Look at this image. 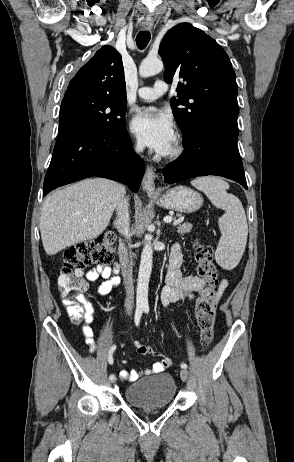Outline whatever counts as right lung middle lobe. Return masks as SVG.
Segmentation results:
<instances>
[{
    "instance_id": "right-lung-middle-lobe-1",
    "label": "right lung middle lobe",
    "mask_w": 294,
    "mask_h": 462,
    "mask_svg": "<svg viewBox=\"0 0 294 462\" xmlns=\"http://www.w3.org/2000/svg\"><path fill=\"white\" fill-rule=\"evenodd\" d=\"M126 99L74 96L62 100L58 138L71 133L125 126Z\"/></svg>"
}]
</instances>
